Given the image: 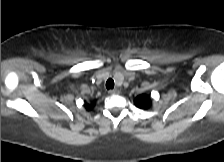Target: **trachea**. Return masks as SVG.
<instances>
[{"instance_id": "3493384b", "label": "trachea", "mask_w": 224, "mask_h": 162, "mask_svg": "<svg viewBox=\"0 0 224 162\" xmlns=\"http://www.w3.org/2000/svg\"><path fill=\"white\" fill-rule=\"evenodd\" d=\"M106 88L107 89H113L114 88V81L113 79H108L106 82Z\"/></svg>"}]
</instances>
